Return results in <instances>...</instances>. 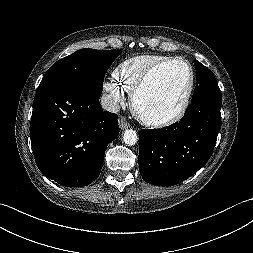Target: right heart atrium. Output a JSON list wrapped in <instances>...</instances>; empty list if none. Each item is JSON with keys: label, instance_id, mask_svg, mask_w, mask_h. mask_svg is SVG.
I'll use <instances>...</instances> for the list:
<instances>
[{"label": "right heart atrium", "instance_id": "right-heart-atrium-1", "mask_svg": "<svg viewBox=\"0 0 253 253\" xmlns=\"http://www.w3.org/2000/svg\"><path fill=\"white\" fill-rule=\"evenodd\" d=\"M103 88L105 92L108 93L113 107H117L124 103L125 96L123 91L113 82L105 81L103 84Z\"/></svg>", "mask_w": 253, "mask_h": 253}]
</instances>
